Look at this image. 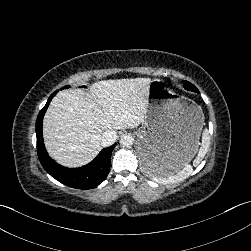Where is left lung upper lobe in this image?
Instances as JSON below:
<instances>
[{"label":"left lung upper lobe","instance_id":"left-lung-upper-lobe-1","mask_svg":"<svg viewBox=\"0 0 251 251\" xmlns=\"http://www.w3.org/2000/svg\"><path fill=\"white\" fill-rule=\"evenodd\" d=\"M183 84L185 89L199 93L198 89L192 83L184 81Z\"/></svg>","mask_w":251,"mask_h":251}]
</instances>
